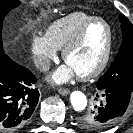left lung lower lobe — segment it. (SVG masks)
I'll list each match as a JSON object with an SVG mask.
<instances>
[{
    "label": "left lung lower lobe",
    "instance_id": "obj_1",
    "mask_svg": "<svg viewBox=\"0 0 133 133\" xmlns=\"http://www.w3.org/2000/svg\"><path fill=\"white\" fill-rule=\"evenodd\" d=\"M102 90L105 98L99 106H95L93 120L97 124L105 125V130L118 122L127 110L133 91L119 86H109ZM101 131V130H98ZM90 131V132H98Z\"/></svg>",
    "mask_w": 133,
    "mask_h": 133
}]
</instances>
